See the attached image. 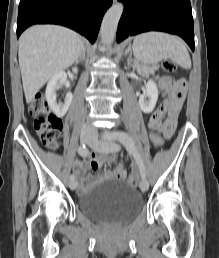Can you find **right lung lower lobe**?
Returning <instances> with one entry per match:
<instances>
[{"label": "right lung lower lobe", "mask_w": 219, "mask_h": 258, "mask_svg": "<svg viewBox=\"0 0 219 258\" xmlns=\"http://www.w3.org/2000/svg\"><path fill=\"white\" fill-rule=\"evenodd\" d=\"M112 0H20L17 37L33 24L69 27L94 43Z\"/></svg>", "instance_id": "right-lung-lower-lobe-1"}]
</instances>
